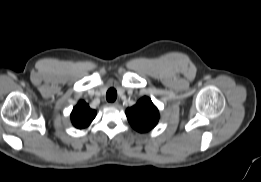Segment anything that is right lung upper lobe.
<instances>
[{
    "mask_svg": "<svg viewBox=\"0 0 261 182\" xmlns=\"http://www.w3.org/2000/svg\"><path fill=\"white\" fill-rule=\"evenodd\" d=\"M95 116L96 111L92 110L86 102L81 100L73 108L71 113V120L76 128L83 129L90 125Z\"/></svg>",
    "mask_w": 261,
    "mask_h": 182,
    "instance_id": "cb5924a9",
    "label": "right lung upper lobe"
}]
</instances>
